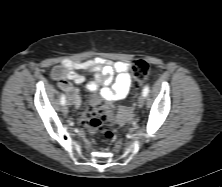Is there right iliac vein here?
I'll return each mask as SVG.
<instances>
[{"label": "right iliac vein", "instance_id": "obj_1", "mask_svg": "<svg viewBox=\"0 0 222 187\" xmlns=\"http://www.w3.org/2000/svg\"><path fill=\"white\" fill-rule=\"evenodd\" d=\"M62 112H63L64 114H67V113H68V107H67L65 104L62 106Z\"/></svg>", "mask_w": 222, "mask_h": 187}]
</instances>
